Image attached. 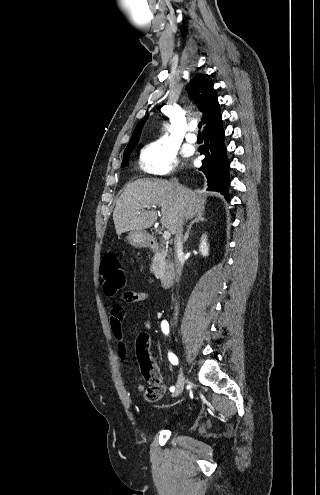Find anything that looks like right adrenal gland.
I'll list each match as a JSON object with an SVG mask.
<instances>
[{
    "instance_id": "right-adrenal-gland-1",
    "label": "right adrenal gland",
    "mask_w": 320,
    "mask_h": 495,
    "mask_svg": "<svg viewBox=\"0 0 320 495\" xmlns=\"http://www.w3.org/2000/svg\"><path fill=\"white\" fill-rule=\"evenodd\" d=\"M205 211H199L195 216H194V219L190 222L189 226H188V229H187V232L184 236V239H183V243H185L189 237V233H190V230L192 229L193 225L195 223H198V222H204L206 221L205 220Z\"/></svg>"
}]
</instances>
